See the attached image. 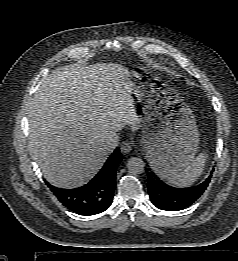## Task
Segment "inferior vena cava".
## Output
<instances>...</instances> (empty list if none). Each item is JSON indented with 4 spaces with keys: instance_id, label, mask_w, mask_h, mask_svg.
Returning <instances> with one entry per match:
<instances>
[{
    "instance_id": "1",
    "label": "inferior vena cava",
    "mask_w": 238,
    "mask_h": 261,
    "mask_svg": "<svg viewBox=\"0 0 238 261\" xmlns=\"http://www.w3.org/2000/svg\"><path fill=\"white\" fill-rule=\"evenodd\" d=\"M118 146V136L116 133H109L105 138V149L112 152Z\"/></svg>"
}]
</instances>
